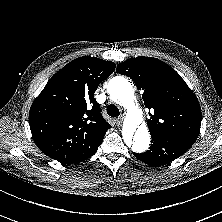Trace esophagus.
Here are the masks:
<instances>
[{
    "mask_svg": "<svg viewBox=\"0 0 222 222\" xmlns=\"http://www.w3.org/2000/svg\"><path fill=\"white\" fill-rule=\"evenodd\" d=\"M122 122H123V116H120L116 119L117 126H120L122 124Z\"/></svg>",
    "mask_w": 222,
    "mask_h": 222,
    "instance_id": "34e87169",
    "label": "esophagus"
}]
</instances>
